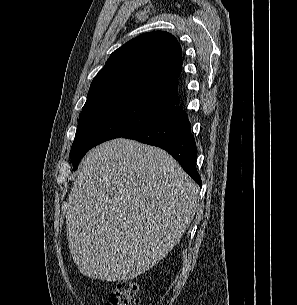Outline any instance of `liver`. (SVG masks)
Masks as SVG:
<instances>
[{"instance_id": "obj_1", "label": "liver", "mask_w": 297, "mask_h": 305, "mask_svg": "<svg viewBox=\"0 0 297 305\" xmlns=\"http://www.w3.org/2000/svg\"><path fill=\"white\" fill-rule=\"evenodd\" d=\"M66 204L68 246L90 278L132 280L180 241L199 208L197 184L166 151L119 138L89 151Z\"/></svg>"}]
</instances>
